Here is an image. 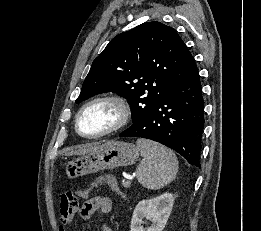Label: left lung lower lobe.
<instances>
[{
  "instance_id": "obj_1",
  "label": "left lung lower lobe",
  "mask_w": 261,
  "mask_h": 231,
  "mask_svg": "<svg viewBox=\"0 0 261 231\" xmlns=\"http://www.w3.org/2000/svg\"><path fill=\"white\" fill-rule=\"evenodd\" d=\"M204 123V101L195 65L142 120L133 123L119 137H141L159 142L200 167Z\"/></svg>"
}]
</instances>
